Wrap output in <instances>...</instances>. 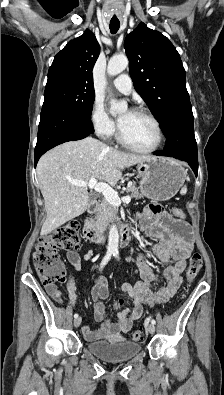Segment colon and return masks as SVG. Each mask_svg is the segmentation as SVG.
Segmentation results:
<instances>
[{
    "label": "colon",
    "instance_id": "5ec220e1",
    "mask_svg": "<svg viewBox=\"0 0 224 395\" xmlns=\"http://www.w3.org/2000/svg\"><path fill=\"white\" fill-rule=\"evenodd\" d=\"M173 214L180 219L185 217V213L180 208H174ZM79 244L78 225L75 223L65 224L50 233L42 235L35 246L33 261L38 276L44 284L64 282L68 278L67 269L58 255L60 249H70ZM203 260L200 253L195 252L191 255L189 266L186 271V280L191 284L197 278ZM122 301L116 303L120 307ZM145 337L142 329H135L131 333L134 341H141Z\"/></svg>",
    "mask_w": 224,
    "mask_h": 395
}]
</instances>
